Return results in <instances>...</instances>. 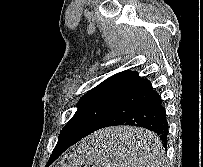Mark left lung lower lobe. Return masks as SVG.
Listing matches in <instances>:
<instances>
[{
    "mask_svg": "<svg viewBox=\"0 0 203 167\" xmlns=\"http://www.w3.org/2000/svg\"><path fill=\"white\" fill-rule=\"evenodd\" d=\"M118 125L138 126L153 131L166 148L169 128L166 111L161 97L147 79L138 75L96 130ZM85 136L87 135H71L59 139L51 160L57 159L67 148Z\"/></svg>",
    "mask_w": 203,
    "mask_h": 167,
    "instance_id": "1",
    "label": "left lung lower lobe"
}]
</instances>
